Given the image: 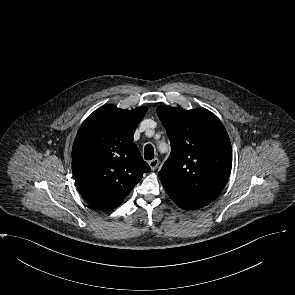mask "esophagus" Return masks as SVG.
Masks as SVG:
<instances>
[{"mask_svg": "<svg viewBox=\"0 0 295 295\" xmlns=\"http://www.w3.org/2000/svg\"><path fill=\"white\" fill-rule=\"evenodd\" d=\"M148 164H149L151 170L152 171H155L157 169L158 165H159V159L158 158H154V159L150 160L148 162Z\"/></svg>", "mask_w": 295, "mask_h": 295, "instance_id": "esophagus-1", "label": "esophagus"}]
</instances>
